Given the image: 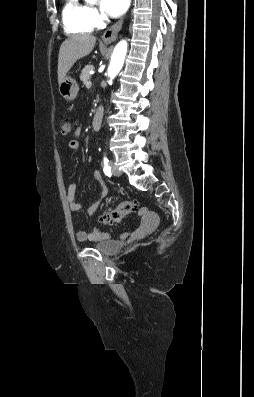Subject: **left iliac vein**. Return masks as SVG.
<instances>
[{
	"mask_svg": "<svg viewBox=\"0 0 254 397\" xmlns=\"http://www.w3.org/2000/svg\"><path fill=\"white\" fill-rule=\"evenodd\" d=\"M111 168H112V174L114 176H117V177L121 176V174H122L121 171L118 170V168L116 167V165L113 162H111Z\"/></svg>",
	"mask_w": 254,
	"mask_h": 397,
	"instance_id": "obj_1",
	"label": "left iliac vein"
}]
</instances>
